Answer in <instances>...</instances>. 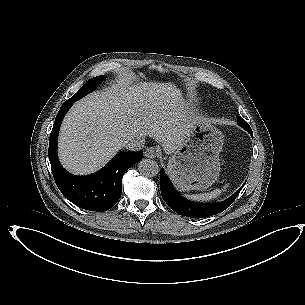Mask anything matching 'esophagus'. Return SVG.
I'll use <instances>...</instances> for the list:
<instances>
[{"label":"esophagus","instance_id":"obj_1","mask_svg":"<svg viewBox=\"0 0 305 305\" xmlns=\"http://www.w3.org/2000/svg\"><path fill=\"white\" fill-rule=\"evenodd\" d=\"M145 157L155 158L157 156V150L154 147H149L144 152Z\"/></svg>","mask_w":305,"mask_h":305}]
</instances>
